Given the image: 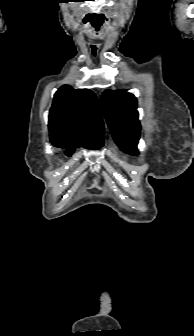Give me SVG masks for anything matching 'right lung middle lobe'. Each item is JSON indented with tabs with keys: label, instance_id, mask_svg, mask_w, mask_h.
I'll list each match as a JSON object with an SVG mask.
<instances>
[{
	"label": "right lung middle lobe",
	"instance_id": "right-lung-middle-lobe-1",
	"mask_svg": "<svg viewBox=\"0 0 194 336\" xmlns=\"http://www.w3.org/2000/svg\"><path fill=\"white\" fill-rule=\"evenodd\" d=\"M51 142L56 147L66 148L65 153L68 156H71L73 154L75 150L74 146L76 147L83 146L85 148L99 149L104 144V140L94 142H82L78 140L62 139V138L54 139Z\"/></svg>",
	"mask_w": 194,
	"mask_h": 336
}]
</instances>
